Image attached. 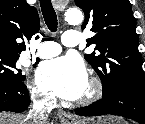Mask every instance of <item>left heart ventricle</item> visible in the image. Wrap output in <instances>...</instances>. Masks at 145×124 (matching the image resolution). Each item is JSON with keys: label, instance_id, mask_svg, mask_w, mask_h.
Wrapping results in <instances>:
<instances>
[{"label": "left heart ventricle", "instance_id": "1", "mask_svg": "<svg viewBox=\"0 0 145 124\" xmlns=\"http://www.w3.org/2000/svg\"><path fill=\"white\" fill-rule=\"evenodd\" d=\"M89 90H90V86H89V84L87 83L86 88H85V90H84V92H83V94H82L81 97L86 96V95L88 94Z\"/></svg>", "mask_w": 145, "mask_h": 124}]
</instances>
